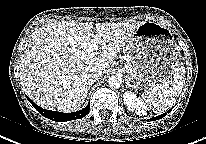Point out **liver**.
<instances>
[{
    "mask_svg": "<svg viewBox=\"0 0 206 144\" xmlns=\"http://www.w3.org/2000/svg\"><path fill=\"white\" fill-rule=\"evenodd\" d=\"M137 23L54 22L32 33L20 61V81L28 97L49 110L72 112L84 102L91 68L109 72L117 53L133 37ZM99 43L102 52L81 59L89 44Z\"/></svg>",
    "mask_w": 206,
    "mask_h": 144,
    "instance_id": "liver-1",
    "label": "liver"
}]
</instances>
